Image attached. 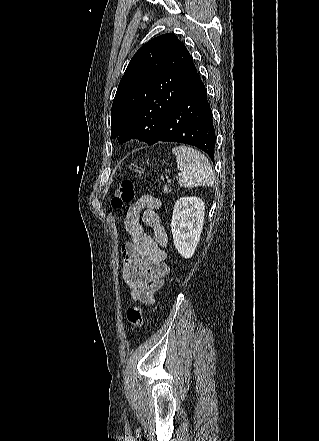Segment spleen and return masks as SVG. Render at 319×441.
<instances>
[{"label": "spleen", "instance_id": "spleen-1", "mask_svg": "<svg viewBox=\"0 0 319 441\" xmlns=\"http://www.w3.org/2000/svg\"><path fill=\"white\" fill-rule=\"evenodd\" d=\"M172 153L176 156L177 169L182 172L180 186L193 188L214 185V172L204 154L186 145L174 147Z\"/></svg>", "mask_w": 319, "mask_h": 441}]
</instances>
